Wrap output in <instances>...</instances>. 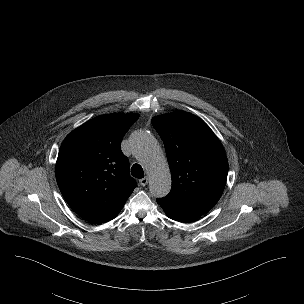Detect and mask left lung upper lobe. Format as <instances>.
<instances>
[{
    "label": "left lung upper lobe",
    "mask_w": 304,
    "mask_h": 304,
    "mask_svg": "<svg viewBox=\"0 0 304 304\" xmlns=\"http://www.w3.org/2000/svg\"><path fill=\"white\" fill-rule=\"evenodd\" d=\"M152 124L164 142L172 176L164 199L199 215L207 213L220 199L228 174L220 141L203 120L188 112L156 116Z\"/></svg>",
    "instance_id": "5c2ea615"
}]
</instances>
